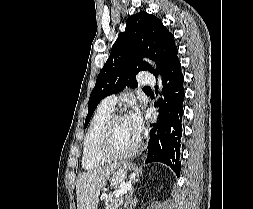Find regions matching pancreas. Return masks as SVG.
<instances>
[{"label":"pancreas","instance_id":"obj_1","mask_svg":"<svg viewBox=\"0 0 253 209\" xmlns=\"http://www.w3.org/2000/svg\"><path fill=\"white\" fill-rule=\"evenodd\" d=\"M115 193L109 194L104 198V209H118V207L123 203V197L115 198Z\"/></svg>","mask_w":253,"mask_h":209}]
</instances>
